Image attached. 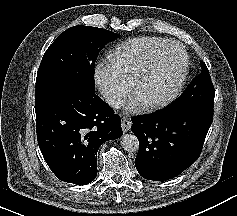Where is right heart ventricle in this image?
Here are the masks:
<instances>
[{
  "mask_svg": "<svg viewBox=\"0 0 237 216\" xmlns=\"http://www.w3.org/2000/svg\"><path fill=\"white\" fill-rule=\"evenodd\" d=\"M170 46V40L155 41L149 35L125 41L111 51L107 58V72L113 77L115 84L124 86L133 80L135 71L151 52L163 53Z\"/></svg>",
  "mask_w": 237,
  "mask_h": 216,
  "instance_id": "obj_1",
  "label": "right heart ventricle"
}]
</instances>
